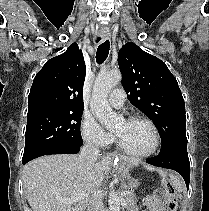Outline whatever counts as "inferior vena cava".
<instances>
[{
	"label": "inferior vena cava",
	"mask_w": 209,
	"mask_h": 211,
	"mask_svg": "<svg viewBox=\"0 0 209 211\" xmlns=\"http://www.w3.org/2000/svg\"><path fill=\"white\" fill-rule=\"evenodd\" d=\"M98 155V148L91 143H86L81 149L78 160L87 170H92ZM88 211H104L98 190L94 192L89 201Z\"/></svg>",
	"instance_id": "obj_1"
}]
</instances>
